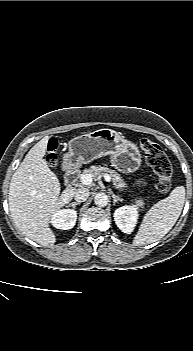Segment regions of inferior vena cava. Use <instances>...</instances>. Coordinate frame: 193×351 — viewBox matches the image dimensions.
<instances>
[{
  "label": "inferior vena cava",
  "mask_w": 193,
  "mask_h": 351,
  "mask_svg": "<svg viewBox=\"0 0 193 351\" xmlns=\"http://www.w3.org/2000/svg\"><path fill=\"white\" fill-rule=\"evenodd\" d=\"M90 192L87 188L81 187L76 189L74 193V198L77 202H84L89 197Z\"/></svg>",
  "instance_id": "inferior-vena-cava-1"
}]
</instances>
